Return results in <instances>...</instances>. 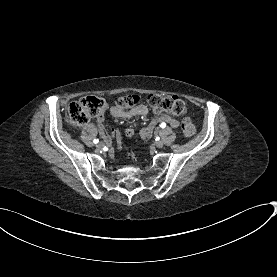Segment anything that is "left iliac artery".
<instances>
[{
    "label": "left iliac artery",
    "mask_w": 277,
    "mask_h": 277,
    "mask_svg": "<svg viewBox=\"0 0 277 277\" xmlns=\"http://www.w3.org/2000/svg\"><path fill=\"white\" fill-rule=\"evenodd\" d=\"M160 127H161V128H165V127H166V123L162 122V123L160 124Z\"/></svg>",
    "instance_id": "obj_1"
}]
</instances>
